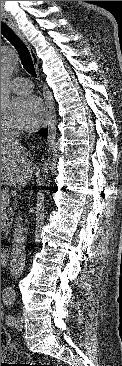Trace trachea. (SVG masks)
<instances>
[{
  "instance_id": "1",
  "label": "trachea",
  "mask_w": 122,
  "mask_h": 366,
  "mask_svg": "<svg viewBox=\"0 0 122 366\" xmlns=\"http://www.w3.org/2000/svg\"><path fill=\"white\" fill-rule=\"evenodd\" d=\"M1 34L15 47L24 69L33 77H37L33 59L30 51L24 42L15 34V32L4 22L1 21Z\"/></svg>"
}]
</instances>
